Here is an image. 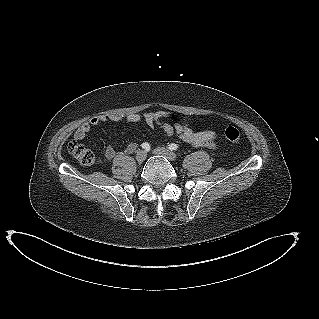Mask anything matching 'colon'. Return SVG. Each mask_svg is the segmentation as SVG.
<instances>
[{"label": "colon", "instance_id": "colon-1", "mask_svg": "<svg viewBox=\"0 0 319 319\" xmlns=\"http://www.w3.org/2000/svg\"><path fill=\"white\" fill-rule=\"evenodd\" d=\"M170 119L174 122H179V119L174 115H172ZM225 137L229 142L236 144L240 143L242 140L240 131L232 126L226 128ZM67 149L81 165L91 166L96 161L94 153L83 144L72 141L68 144Z\"/></svg>", "mask_w": 319, "mask_h": 319}]
</instances>
